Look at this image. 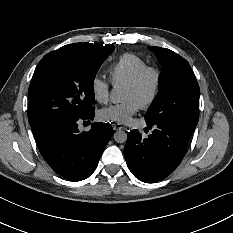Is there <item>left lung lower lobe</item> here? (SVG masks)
<instances>
[{"label": "left lung lower lobe", "mask_w": 233, "mask_h": 233, "mask_svg": "<svg viewBox=\"0 0 233 233\" xmlns=\"http://www.w3.org/2000/svg\"><path fill=\"white\" fill-rule=\"evenodd\" d=\"M154 128L147 138L131 130L124 148L130 171L145 183L160 181L178 167L195 130L194 126L181 124H158Z\"/></svg>", "instance_id": "0a47b994"}]
</instances>
